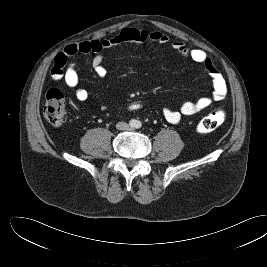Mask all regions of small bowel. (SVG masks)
<instances>
[{
    "mask_svg": "<svg viewBox=\"0 0 267 267\" xmlns=\"http://www.w3.org/2000/svg\"><path fill=\"white\" fill-rule=\"evenodd\" d=\"M145 41L168 44L170 40L166 34L157 30L124 28L112 37L71 44L56 56L51 69V76L53 80L63 82L67 87L74 89L77 100L86 101L88 99V92L81 85V79L71 58L77 54H92L94 72L98 77H104L106 69L102 62V52L105 49L124 42L141 43ZM171 45L180 56L203 65L207 69L213 85V92L209 96H203L194 101H183L176 109L170 107L163 109L165 119L169 123L176 125L181 122L183 116L199 114L206 110L213 102L223 100L227 95V84L205 51L199 48H188L181 41H174Z\"/></svg>",
    "mask_w": 267,
    "mask_h": 267,
    "instance_id": "c3829d8e",
    "label": "small bowel"
}]
</instances>
